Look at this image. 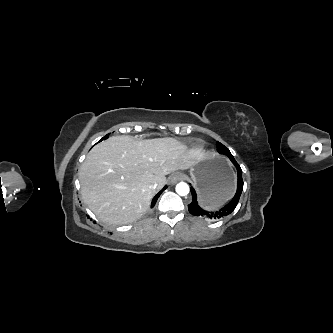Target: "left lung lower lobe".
<instances>
[{"instance_id":"left-lung-lower-lobe-1","label":"left lung lower lobe","mask_w":333,"mask_h":333,"mask_svg":"<svg viewBox=\"0 0 333 333\" xmlns=\"http://www.w3.org/2000/svg\"><path fill=\"white\" fill-rule=\"evenodd\" d=\"M231 162L235 165L237 169V176H238V187L235 196L233 199L223 208L217 210V211H206L203 210L197 203V195L193 187H191V193H192V202L188 205L189 212L194 215L198 216L200 218H203L208 221H214L221 218H224L225 216L229 215L234 211L236 208L240 195L243 190V179H242V170L238 163L235 161V159H231Z\"/></svg>"}]
</instances>
